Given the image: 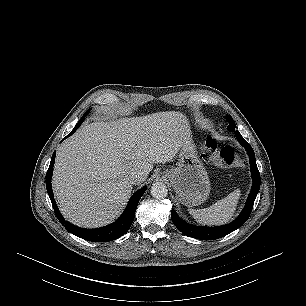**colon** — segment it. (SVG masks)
<instances>
[{"instance_id": "5ec220e1", "label": "colon", "mask_w": 306, "mask_h": 306, "mask_svg": "<svg viewBox=\"0 0 306 306\" xmlns=\"http://www.w3.org/2000/svg\"><path fill=\"white\" fill-rule=\"evenodd\" d=\"M204 156L223 168L243 167V155L230 146H219L213 139H209L204 146Z\"/></svg>"}]
</instances>
